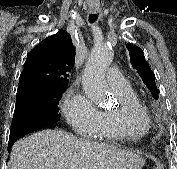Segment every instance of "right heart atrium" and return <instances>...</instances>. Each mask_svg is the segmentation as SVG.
<instances>
[{"mask_svg": "<svg viewBox=\"0 0 177 169\" xmlns=\"http://www.w3.org/2000/svg\"><path fill=\"white\" fill-rule=\"evenodd\" d=\"M62 109L67 121L78 134L89 135L97 127L100 111L83 93L69 90Z\"/></svg>", "mask_w": 177, "mask_h": 169, "instance_id": "1", "label": "right heart atrium"}]
</instances>
